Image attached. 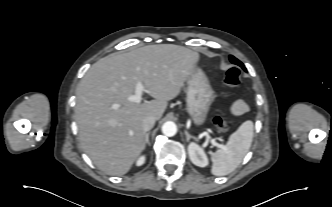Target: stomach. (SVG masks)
I'll return each mask as SVG.
<instances>
[{
  "instance_id": "1",
  "label": "stomach",
  "mask_w": 332,
  "mask_h": 207,
  "mask_svg": "<svg viewBox=\"0 0 332 207\" xmlns=\"http://www.w3.org/2000/svg\"><path fill=\"white\" fill-rule=\"evenodd\" d=\"M187 112L195 125H202L214 100V93L206 74L199 68L188 77Z\"/></svg>"
}]
</instances>
